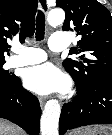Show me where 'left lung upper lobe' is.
<instances>
[{
  "label": "left lung upper lobe",
  "instance_id": "5c2ea615",
  "mask_svg": "<svg viewBox=\"0 0 112 135\" xmlns=\"http://www.w3.org/2000/svg\"><path fill=\"white\" fill-rule=\"evenodd\" d=\"M65 10L63 31H75L81 36L77 47L69 54H79L76 59H66L64 68L81 88L95 81L112 77V16L97 0H56Z\"/></svg>",
  "mask_w": 112,
  "mask_h": 135
}]
</instances>
